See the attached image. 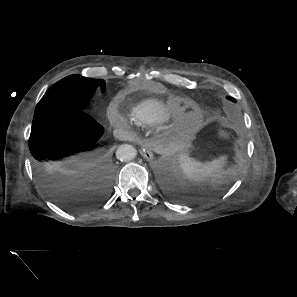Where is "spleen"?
Masks as SVG:
<instances>
[{"label": "spleen", "mask_w": 297, "mask_h": 297, "mask_svg": "<svg viewBox=\"0 0 297 297\" xmlns=\"http://www.w3.org/2000/svg\"><path fill=\"white\" fill-rule=\"evenodd\" d=\"M225 157L208 162H200L187 154H181L180 166L186 177L194 182L215 180L223 174Z\"/></svg>", "instance_id": "spleen-1"}]
</instances>
